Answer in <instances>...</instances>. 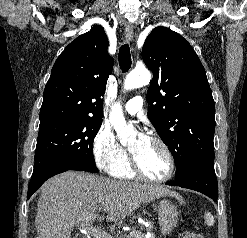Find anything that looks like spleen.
Masks as SVG:
<instances>
[{
    "label": "spleen",
    "mask_w": 247,
    "mask_h": 238,
    "mask_svg": "<svg viewBox=\"0 0 247 238\" xmlns=\"http://www.w3.org/2000/svg\"><path fill=\"white\" fill-rule=\"evenodd\" d=\"M204 220H205V223H206L208 226H212V225H214V223H215L214 216H213L211 213H209V212L205 213V215H204Z\"/></svg>",
    "instance_id": "1"
}]
</instances>
